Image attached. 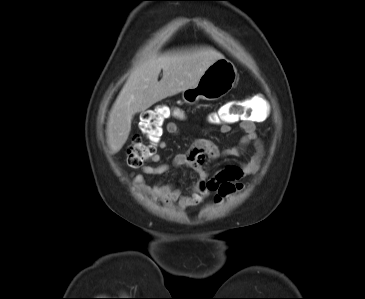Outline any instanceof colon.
Wrapping results in <instances>:
<instances>
[{"mask_svg":"<svg viewBox=\"0 0 365 299\" xmlns=\"http://www.w3.org/2000/svg\"><path fill=\"white\" fill-rule=\"evenodd\" d=\"M181 110L168 106L158 105L141 114L139 127L149 139V143L135 138L127 149L126 160L130 167L137 168L152 160L156 154V144L163 134L164 123L170 118H181ZM257 116L254 105L250 100H241L221 107L217 112L211 113L210 121L216 125H226L236 121L250 120ZM207 188L216 192L217 199H222L241 188V184L224 182L221 184L207 183Z\"/></svg>","mask_w":365,"mask_h":299,"instance_id":"colon-1","label":"colon"}]
</instances>
